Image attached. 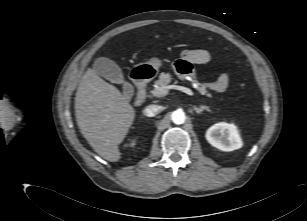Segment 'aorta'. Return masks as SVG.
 <instances>
[{"instance_id": "1", "label": "aorta", "mask_w": 307, "mask_h": 221, "mask_svg": "<svg viewBox=\"0 0 307 221\" xmlns=\"http://www.w3.org/2000/svg\"><path fill=\"white\" fill-rule=\"evenodd\" d=\"M171 120L173 123L180 125L186 120V115L183 110L177 109L171 113Z\"/></svg>"}]
</instances>
